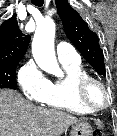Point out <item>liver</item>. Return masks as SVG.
<instances>
[{"label":"liver","instance_id":"6515ba94","mask_svg":"<svg viewBox=\"0 0 117 136\" xmlns=\"http://www.w3.org/2000/svg\"><path fill=\"white\" fill-rule=\"evenodd\" d=\"M79 121L64 111L35 106L14 90L0 89V136H60Z\"/></svg>","mask_w":117,"mask_h":136}]
</instances>
